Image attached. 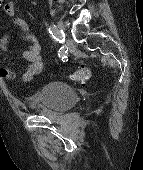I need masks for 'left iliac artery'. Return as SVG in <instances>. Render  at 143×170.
<instances>
[{"mask_svg": "<svg viewBox=\"0 0 143 170\" xmlns=\"http://www.w3.org/2000/svg\"><path fill=\"white\" fill-rule=\"evenodd\" d=\"M48 31L56 41L60 43L65 41V34L63 30L59 29L56 25H51L48 28Z\"/></svg>", "mask_w": 143, "mask_h": 170, "instance_id": "44dca946", "label": "left iliac artery"}]
</instances>
